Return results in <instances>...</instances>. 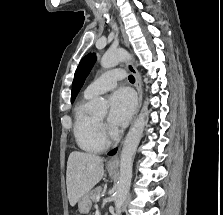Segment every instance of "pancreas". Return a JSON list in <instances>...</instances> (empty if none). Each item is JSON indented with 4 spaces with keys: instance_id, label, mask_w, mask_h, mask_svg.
<instances>
[{
    "instance_id": "pancreas-1",
    "label": "pancreas",
    "mask_w": 223,
    "mask_h": 215,
    "mask_svg": "<svg viewBox=\"0 0 223 215\" xmlns=\"http://www.w3.org/2000/svg\"><path fill=\"white\" fill-rule=\"evenodd\" d=\"M93 190V193L91 194L93 197V201H97V199H96V197H97V195L100 193V191H102V187H101V185H98V187H94V189H92Z\"/></svg>"
}]
</instances>
